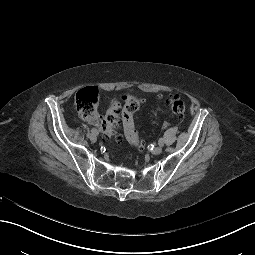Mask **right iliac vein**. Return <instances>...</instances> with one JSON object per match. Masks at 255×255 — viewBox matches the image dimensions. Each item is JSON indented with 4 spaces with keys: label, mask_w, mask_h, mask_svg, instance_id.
I'll use <instances>...</instances> for the list:
<instances>
[{
    "label": "right iliac vein",
    "mask_w": 255,
    "mask_h": 255,
    "mask_svg": "<svg viewBox=\"0 0 255 255\" xmlns=\"http://www.w3.org/2000/svg\"><path fill=\"white\" fill-rule=\"evenodd\" d=\"M89 138H90V140H91L92 142H96V141H97V135L94 134V133H91L90 136H89Z\"/></svg>",
    "instance_id": "63e3f726"
}]
</instances>
